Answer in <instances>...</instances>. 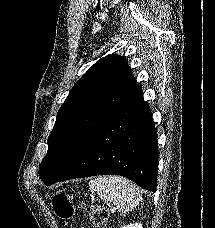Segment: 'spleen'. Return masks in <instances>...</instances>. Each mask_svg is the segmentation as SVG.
Wrapping results in <instances>:
<instances>
[{"instance_id":"3e777b00","label":"spleen","mask_w":215,"mask_h":228,"mask_svg":"<svg viewBox=\"0 0 215 228\" xmlns=\"http://www.w3.org/2000/svg\"><path fill=\"white\" fill-rule=\"evenodd\" d=\"M89 190L96 192L101 200L112 202L122 214L131 212L142 202L141 192L136 184L119 176H97L95 180H91Z\"/></svg>"}]
</instances>
